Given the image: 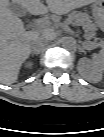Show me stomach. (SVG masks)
Here are the masks:
<instances>
[{
	"label": "stomach",
	"mask_w": 104,
	"mask_h": 137,
	"mask_svg": "<svg viewBox=\"0 0 104 137\" xmlns=\"http://www.w3.org/2000/svg\"><path fill=\"white\" fill-rule=\"evenodd\" d=\"M93 15L95 18H99L101 17L102 15V12H103V8H102V0H97L94 4H93ZM86 45L87 47L88 46V43L86 42Z\"/></svg>",
	"instance_id": "1"
}]
</instances>
